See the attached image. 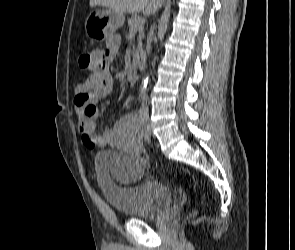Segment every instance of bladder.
<instances>
[{"instance_id": "bladder-1", "label": "bladder", "mask_w": 295, "mask_h": 250, "mask_svg": "<svg viewBox=\"0 0 295 250\" xmlns=\"http://www.w3.org/2000/svg\"><path fill=\"white\" fill-rule=\"evenodd\" d=\"M118 158L111 150L95 156L98 180L108 203L130 219L156 220L161 218L171 203L169 188L160 181L146 178L138 183L122 185L116 170Z\"/></svg>"}]
</instances>
